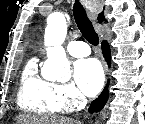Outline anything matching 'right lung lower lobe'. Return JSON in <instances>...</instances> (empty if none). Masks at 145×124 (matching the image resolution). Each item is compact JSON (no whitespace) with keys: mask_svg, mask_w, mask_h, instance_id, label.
Listing matches in <instances>:
<instances>
[{"mask_svg":"<svg viewBox=\"0 0 145 124\" xmlns=\"http://www.w3.org/2000/svg\"><path fill=\"white\" fill-rule=\"evenodd\" d=\"M102 50H103L105 59L107 60L108 63H110V50L106 41L102 43ZM107 98H108V93H107V88H106L100 94V96L92 102L89 108V111L92 113V112H98L99 110H101L104 104L106 103Z\"/></svg>","mask_w":145,"mask_h":124,"instance_id":"obj_1","label":"right lung lower lobe"}]
</instances>
